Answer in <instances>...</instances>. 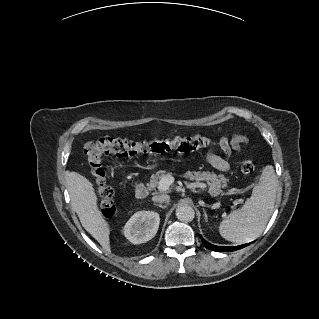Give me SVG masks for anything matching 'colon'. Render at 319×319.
I'll list each match as a JSON object with an SVG mask.
<instances>
[{
    "mask_svg": "<svg viewBox=\"0 0 319 319\" xmlns=\"http://www.w3.org/2000/svg\"><path fill=\"white\" fill-rule=\"evenodd\" d=\"M211 145V140L202 136L136 142L115 137H103L86 144L84 164L94 184L101 212L108 216L114 211V192L107 183L106 172L102 165L105 157H130L138 154L167 152L192 153ZM254 169L251 161H243L240 164V170L244 174H251Z\"/></svg>",
    "mask_w": 319,
    "mask_h": 319,
    "instance_id": "colon-1",
    "label": "colon"
}]
</instances>
